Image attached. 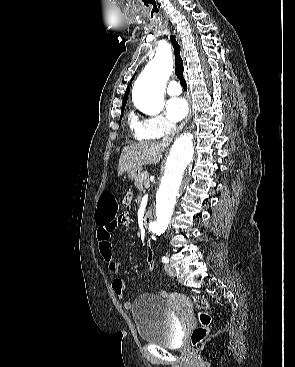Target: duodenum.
Wrapping results in <instances>:
<instances>
[{"label":"duodenum","instance_id":"1","mask_svg":"<svg viewBox=\"0 0 295 367\" xmlns=\"http://www.w3.org/2000/svg\"><path fill=\"white\" fill-rule=\"evenodd\" d=\"M153 220V214L151 211H146L144 218H143V225L145 228H148V226L150 225V223Z\"/></svg>","mask_w":295,"mask_h":367}]
</instances>
